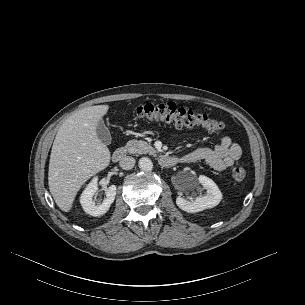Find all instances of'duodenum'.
<instances>
[{"mask_svg":"<svg viewBox=\"0 0 305 305\" xmlns=\"http://www.w3.org/2000/svg\"><path fill=\"white\" fill-rule=\"evenodd\" d=\"M124 155H125V148L118 147L112 153L111 159L113 162L117 163L123 158ZM179 162H180V160L177 157L162 156L159 159L160 165L165 168L172 167V166L178 164Z\"/></svg>","mask_w":305,"mask_h":305,"instance_id":"1","label":"duodenum"}]
</instances>
